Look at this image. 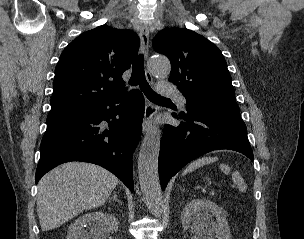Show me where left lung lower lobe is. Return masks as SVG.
I'll return each mask as SVG.
<instances>
[{
    "label": "left lung lower lobe",
    "mask_w": 304,
    "mask_h": 239,
    "mask_svg": "<svg viewBox=\"0 0 304 239\" xmlns=\"http://www.w3.org/2000/svg\"><path fill=\"white\" fill-rule=\"evenodd\" d=\"M178 126L165 125L160 144L159 177L162 190L187 163L210 151H238L253 161L242 118L219 114H173Z\"/></svg>",
    "instance_id": "0a47b994"
}]
</instances>
